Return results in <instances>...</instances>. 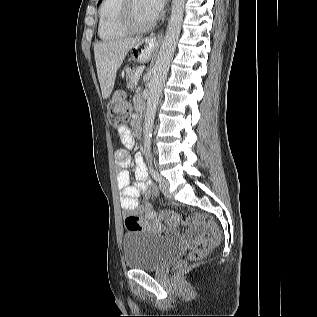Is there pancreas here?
<instances>
[{
	"mask_svg": "<svg viewBox=\"0 0 317 317\" xmlns=\"http://www.w3.org/2000/svg\"><path fill=\"white\" fill-rule=\"evenodd\" d=\"M136 68L131 69V71L126 75L127 79V92L128 93H133L134 88L136 87Z\"/></svg>",
	"mask_w": 317,
	"mask_h": 317,
	"instance_id": "1",
	"label": "pancreas"
}]
</instances>
